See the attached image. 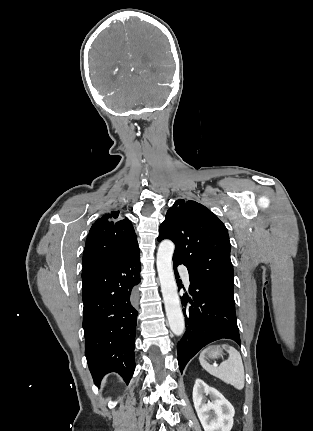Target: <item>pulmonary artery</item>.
<instances>
[{
	"instance_id": "1",
	"label": "pulmonary artery",
	"mask_w": 313,
	"mask_h": 431,
	"mask_svg": "<svg viewBox=\"0 0 313 431\" xmlns=\"http://www.w3.org/2000/svg\"><path fill=\"white\" fill-rule=\"evenodd\" d=\"M178 269H179V272L182 276V279H183L185 285L189 286L190 285V277H189V272H188L187 268L183 265H180Z\"/></svg>"
}]
</instances>
